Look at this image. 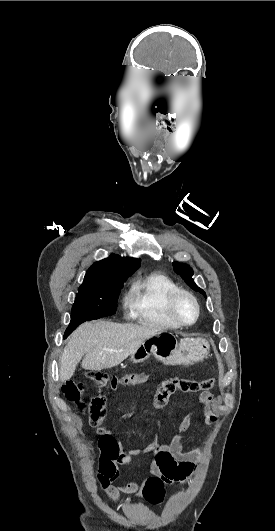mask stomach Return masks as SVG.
<instances>
[{
	"mask_svg": "<svg viewBox=\"0 0 275 531\" xmlns=\"http://www.w3.org/2000/svg\"><path fill=\"white\" fill-rule=\"evenodd\" d=\"M210 345L206 339H182L178 343L175 335L162 331L149 337L131 353L130 361L144 363L149 357H155L163 365H195L206 359Z\"/></svg>",
	"mask_w": 275,
	"mask_h": 531,
	"instance_id": "1",
	"label": "stomach"
}]
</instances>
